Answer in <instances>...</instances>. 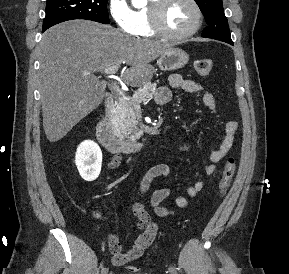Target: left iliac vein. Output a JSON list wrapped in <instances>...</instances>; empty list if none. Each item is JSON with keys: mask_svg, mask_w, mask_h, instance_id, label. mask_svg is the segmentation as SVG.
<instances>
[{"mask_svg": "<svg viewBox=\"0 0 289 274\" xmlns=\"http://www.w3.org/2000/svg\"><path fill=\"white\" fill-rule=\"evenodd\" d=\"M169 271H170V274H178L174 268H171Z\"/></svg>", "mask_w": 289, "mask_h": 274, "instance_id": "4c4485c4", "label": "left iliac vein"}]
</instances>
